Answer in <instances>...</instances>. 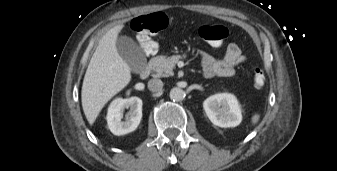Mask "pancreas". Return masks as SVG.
Here are the masks:
<instances>
[{
    "mask_svg": "<svg viewBox=\"0 0 337 171\" xmlns=\"http://www.w3.org/2000/svg\"><path fill=\"white\" fill-rule=\"evenodd\" d=\"M186 55H173L171 57L157 56L151 60V66L155 77H168L173 75V68L180 59Z\"/></svg>",
    "mask_w": 337,
    "mask_h": 171,
    "instance_id": "cf45deb5",
    "label": "pancreas"
}]
</instances>
